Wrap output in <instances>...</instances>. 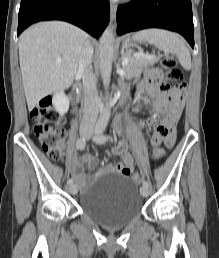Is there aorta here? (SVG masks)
Wrapping results in <instances>:
<instances>
[{
  "label": "aorta",
  "mask_w": 219,
  "mask_h": 258,
  "mask_svg": "<svg viewBox=\"0 0 219 258\" xmlns=\"http://www.w3.org/2000/svg\"><path fill=\"white\" fill-rule=\"evenodd\" d=\"M114 33L111 27H107L100 38V72L105 87L109 86L112 62L114 58ZM110 119V108L106 105L103 109L96 128L99 131L105 130Z\"/></svg>",
  "instance_id": "762f6f07"
}]
</instances>
